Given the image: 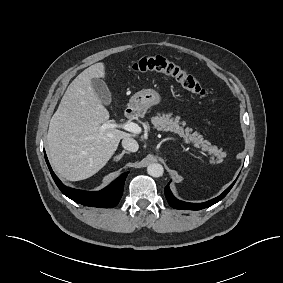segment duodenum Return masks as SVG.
<instances>
[{
  "instance_id": "410a0bca",
  "label": "duodenum",
  "mask_w": 283,
  "mask_h": 283,
  "mask_svg": "<svg viewBox=\"0 0 283 283\" xmlns=\"http://www.w3.org/2000/svg\"><path fill=\"white\" fill-rule=\"evenodd\" d=\"M136 115H137V108L134 106L129 107L125 112V116L128 119H133L134 117H136Z\"/></svg>"
}]
</instances>
